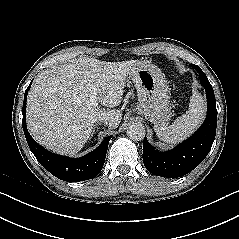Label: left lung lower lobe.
Listing matches in <instances>:
<instances>
[{"label":"left lung lower lobe","instance_id":"obj_1","mask_svg":"<svg viewBox=\"0 0 239 239\" xmlns=\"http://www.w3.org/2000/svg\"><path fill=\"white\" fill-rule=\"evenodd\" d=\"M207 96V117L203 125L187 140L168 152L153 149L146 137L143 142V162L154 175L178 178L195 169L209 153L215 139L217 109L213 88L208 80H200Z\"/></svg>","mask_w":239,"mask_h":239}]
</instances>
